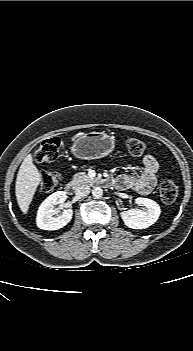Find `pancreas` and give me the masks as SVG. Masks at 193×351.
I'll return each mask as SVG.
<instances>
[{
	"label": "pancreas",
	"mask_w": 193,
	"mask_h": 351,
	"mask_svg": "<svg viewBox=\"0 0 193 351\" xmlns=\"http://www.w3.org/2000/svg\"><path fill=\"white\" fill-rule=\"evenodd\" d=\"M73 184L74 185H81L84 183L87 184H93L96 182L95 178H90L88 175H86L84 172H79L73 176Z\"/></svg>",
	"instance_id": "pancreas-1"
}]
</instances>
